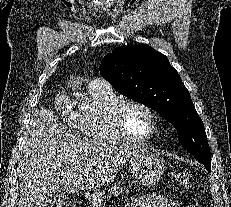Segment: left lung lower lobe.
Returning a JSON list of instances; mask_svg holds the SVG:
<instances>
[{
	"label": "left lung lower lobe",
	"instance_id": "left-lung-lower-lobe-1",
	"mask_svg": "<svg viewBox=\"0 0 231 207\" xmlns=\"http://www.w3.org/2000/svg\"><path fill=\"white\" fill-rule=\"evenodd\" d=\"M204 166L206 167V169H207L209 172L211 171V165L204 164Z\"/></svg>",
	"mask_w": 231,
	"mask_h": 207
}]
</instances>
